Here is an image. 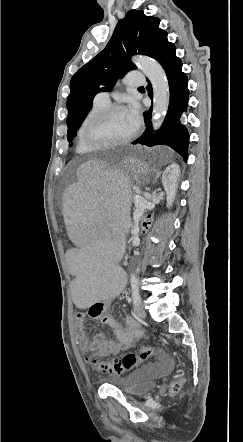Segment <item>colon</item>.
<instances>
[{"mask_svg": "<svg viewBox=\"0 0 243 442\" xmlns=\"http://www.w3.org/2000/svg\"><path fill=\"white\" fill-rule=\"evenodd\" d=\"M153 223V216H143L140 228L141 233H149L150 227ZM144 238L145 235H142L141 241H144ZM157 352L158 349L154 346H144L137 352H129L123 357H108L106 361L94 357H85L83 359V364L85 366H93L96 371L102 374H122L144 364ZM183 382V379L173 382L171 385L172 391H179Z\"/></svg>", "mask_w": 243, "mask_h": 442, "instance_id": "1", "label": "colon"}]
</instances>
